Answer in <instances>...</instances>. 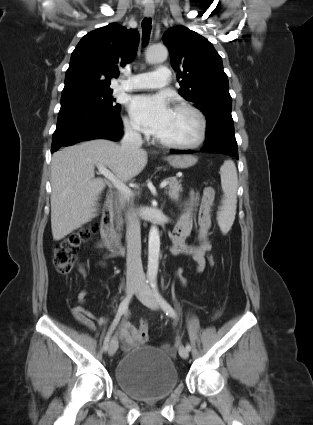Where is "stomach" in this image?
<instances>
[{
    "label": "stomach",
    "mask_w": 313,
    "mask_h": 425,
    "mask_svg": "<svg viewBox=\"0 0 313 425\" xmlns=\"http://www.w3.org/2000/svg\"><path fill=\"white\" fill-rule=\"evenodd\" d=\"M166 160L176 169H186L197 162V158L192 155H172L167 157Z\"/></svg>",
    "instance_id": "stomach-1"
}]
</instances>
